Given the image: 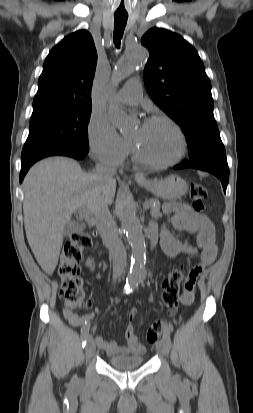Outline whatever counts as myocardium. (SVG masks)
Masks as SVG:
<instances>
[{
    "label": "myocardium",
    "instance_id": "1",
    "mask_svg": "<svg viewBox=\"0 0 253 413\" xmlns=\"http://www.w3.org/2000/svg\"><path fill=\"white\" fill-rule=\"evenodd\" d=\"M154 121H164L167 124H169L172 129L175 131L178 140H179V149L177 154L170 160L168 161H164V162H157V161H153L148 159L147 157H145L142 152L140 151V149L137 147V145L135 143L132 144L133 147V152L135 155V158L142 164L148 166V167H152V168H157V169H163V168H168L171 166L176 165L177 163H179L187 150V141H186V137L185 134L183 132V130L181 129V127L179 126V124L173 120L171 117H169L168 115L165 114H155L152 115L150 117H148L144 123H150V122H154Z\"/></svg>",
    "mask_w": 253,
    "mask_h": 413
}]
</instances>
